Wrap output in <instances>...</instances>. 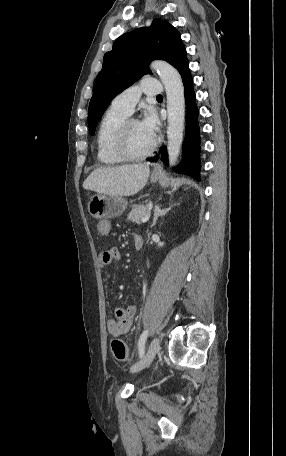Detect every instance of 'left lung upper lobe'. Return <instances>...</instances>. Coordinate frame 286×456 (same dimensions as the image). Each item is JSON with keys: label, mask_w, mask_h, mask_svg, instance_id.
Instances as JSON below:
<instances>
[{"label": "left lung upper lobe", "mask_w": 286, "mask_h": 456, "mask_svg": "<svg viewBox=\"0 0 286 456\" xmlns=\"http://www.w3.org/2000/svg\"><path fill=\"white\" fill-rule=\"evenodd\" d=\"M186 50L180 33L167 21L153 20L151 26L123 34L104 55L89 104L91 135L112 99L144 74L154 59L166 60L177 70L185 63Z\"/></svg>", "instance_id": "obj_1"}]
</instances>
